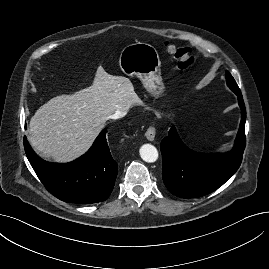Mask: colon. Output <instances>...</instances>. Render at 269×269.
<instances>
[{
  "label": "colon",
  "mask_w": 269,
  "mask_h": 269,
  "mask_svg": "<svg viewBox=\"0 0 269 269\" xmlns=\"http://www.w3.org/2000/svg\"><path fill=\"white\" fill-rule=\"evenodd\" d=\"M167 49L170 54L177 60V65L180 70L187 71L197 65V58L193 54L190 47L169 44L167 45Z\"/></svg>",
  "instance_id": "colon-1"
}]
</instances>
